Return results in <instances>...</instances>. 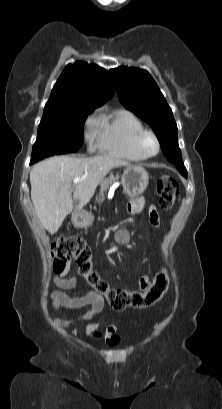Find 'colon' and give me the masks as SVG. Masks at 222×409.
Listing matches in <instances>:
<instances>
[{
    "label": "colon",
    "instance_id": "1",
    "mask_svg": "<svg viewBox=\"0 0 222 409\" xmlns=\"http://www.w3.org/2000/svg\"><path fill=\"white\" fill-rule=\"evenodd\" d=\"M156 192L159 205L163 209H170L179 195V184L170 175H161L156 181ZM51 254L53 270L62 272L70 260H74L79 273L94 289V292L103 296L114 310L125 308H145L157 302L168 288L169 278L165 272L158 273L140 290H125L114 288L104 280L94 268L92 251L86 241L76 237H64L54 242ZM117 338H112V342Z\"/></svg>",
    "mask_w": 222,
    "mask_h": 409
}]
</instances>
